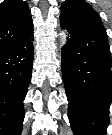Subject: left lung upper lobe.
Wrapping results in <instances>:
<instances>
[{"instance_id":"1","label":"left lung upper lobe","mask_w":112,"mask_h":135,"mask_svg":"<svg viewBox=\"0 0 112 135\" xmlns=\"http://www.w3.org/2000/svg\"><path fill=\"white\" fill-rule=\"evenodd\" d=\"M60 19L71 24L105 30L98 13L85 0H66L61 5Z\"/></svg>"}]
</instances>
